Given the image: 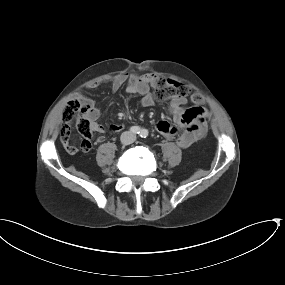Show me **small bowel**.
I'll return each instance as SVG.
<instances>
[{
	"label": "small bowel",
	"instance_id": "small-bowel-1",
	"mask_svg": "<svg viewBox=\"0 0 285 285\" xmlns=\"http://www.w3.org/2000/svg\"><path fill=\"white\" fill-rule=\"evenodd\" d=\"M155 80L153 74L132 75L128 79L124 75L115 76L110 80L111 88L117 91L124 83L126 85V92L132 95H139L141 97V105L143 107H152L155 104L154 98L150 92V84ZM106 81H95L89 84L90 90L97 89L102 83ZM84 97L89 99L85 94H79L76 98ZM185 98H175L168 104V109L173 115V124L167 120H160L156 124V130L162 136L168 139H175L176 144L180 148H188L197 142L201 141L207 132L206 116L207 112L202 107L186 108ZM100 112L94 108L89 115L92 131L96 133H118L123 130L124 125L121 123H114L105 126L98 122ZM185 130L183 131V129ZM70 128L67 129L66 136L70 137ZM65 150L68 154L74 155L80 151L88 152L92 148V142L89 139H84L79 145L71 144L67 141L64 143Z\"/></svg>",
	"mask_w": 285,
	"mask_h": 285
}]
</instances>
